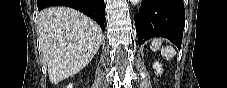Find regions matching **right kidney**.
Returning a JSON list of instances; mask_svg holds the SVG:
<instances>
[{
  "label": "right kidney",
  "instance_id": "1",
  "mask_svg": "<svg viewBox=\"0 0 227 88\" xmlns=\"http://www.w3.org/2000/svg\"><path fill=\"white\" fill-rule=\"evenodd\" d=\"M67 88H73V84L70 83L68 86H66Z\"/></svg>",
  "mask_w": 227,
  "mask_h": 88
}]
</instances>
